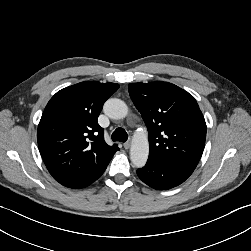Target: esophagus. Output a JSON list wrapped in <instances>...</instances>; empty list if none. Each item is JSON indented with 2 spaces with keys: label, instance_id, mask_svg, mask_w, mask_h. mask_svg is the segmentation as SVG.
I'll return each mask as SVG.
<instances>
[{
  "label": "esophagus",
  "instance_id": "esophagus-1",
  "mask_svg": "<svg viewBox=\"0 0 251 251\" xmlns=\"http://www.w3.org/2000/svg\"><path fill=\"white\" fill-rule=\"evenodd\" d=\"M123 146L125 149H129L131 146V143L128 141V142L124 143Z\"/></svg>",
  "mask_w": 251,
  "mask_h": 251
}]
</instances>
